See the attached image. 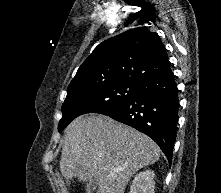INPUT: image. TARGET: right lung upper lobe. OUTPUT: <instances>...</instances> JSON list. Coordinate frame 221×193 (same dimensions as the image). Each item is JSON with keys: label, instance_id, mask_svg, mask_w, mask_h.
I'll use <instances>...</instances> for the list:
<instances>
[{"label": "right lung upper lobe", "instance_id": "right-lung-upper-lobe-1", "mask_svg": "<svg viewBox=\"0 0 221 193\" xmlns=\"http://www.w3.org/2000/svg\"><path fill=\"white\" fill-rule=\"evenodd\" d=\"M171 72L159 35L138 27L100 43L79 67L68 90L116 82L143 83Z\"/></svg>", "mask_w": 221, "mask_h": 193}]
</instances>
